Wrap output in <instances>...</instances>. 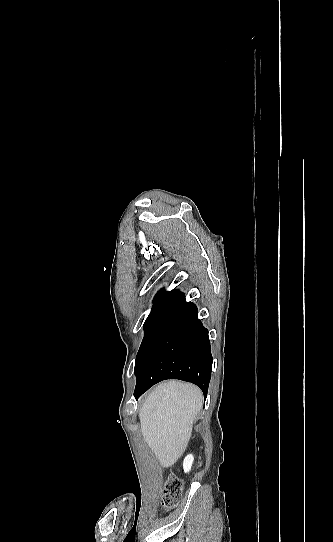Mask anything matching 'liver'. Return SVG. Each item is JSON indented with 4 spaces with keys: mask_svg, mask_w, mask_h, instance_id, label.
Instances as JSON below:
<instances>
[{
    "mask_svg": "<svg viewBox=\"0 0 333 542\" xmlns=\"http://www.w3.org/2000/svg\"><path fill=\"white\" fill-rule=\"evenodd\" d=\"M202 404L199 388L175 380L149 394L139 414L141 432L162 468H171L186 450Z\"/></svg>",
    "mask_w": 333,
    "mask_h": 542,
    "instance_id": "liver-1",
    "label": "liver"
}]
</instances>
